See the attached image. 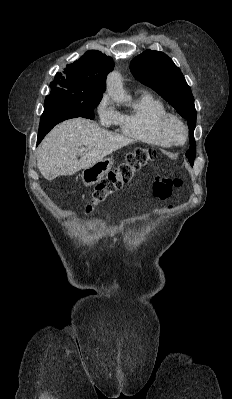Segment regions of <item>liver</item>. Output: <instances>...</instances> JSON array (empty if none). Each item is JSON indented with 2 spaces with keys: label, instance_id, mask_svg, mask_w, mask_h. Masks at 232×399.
<instances>
[{
  "label": "liver",
  "instance_id": "liver-1",
  "mask_svg": "<svg viewBox=\"0 0 232 399\" xmlns=\"http://www.w3.org/2000/svg\"><path fill=\"white\" fill-rule=\"evenodd\" d=\"M132 142L121 134L99 128L96 122L83 118L67 120L44 138L37 156V168L45 180L72 176ZM81 148H85V152H79ZM77 156L81 158L78 160Z\"/></svg>",
  "mask_w": 232,
  "mask_h": 399
}]
</instances>
